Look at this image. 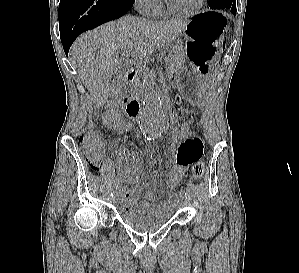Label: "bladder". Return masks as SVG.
<instances>
[{"label": "bladder", "instance_id": "obj_1", "mask_svg": "<svg viewBox=\"0 0 299 273\" xmlns=\"http://www.w3.org/2000/svg\"><path fill=\"white\" fill-rule=\"evenodd\" d=\"M173 205L168 209H158L148 216H140L134 213L120 211V221L126 226L139 232H150L166 225L173 216Z\"/></svg>", "mask_w": 299, "mask_h": 273}]
</instances>
